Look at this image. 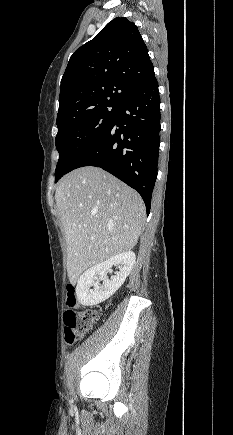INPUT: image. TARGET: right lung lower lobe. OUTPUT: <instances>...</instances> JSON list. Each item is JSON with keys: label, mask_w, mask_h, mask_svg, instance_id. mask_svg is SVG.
I'll list each match as a JSON object with an SVG mask.
<instances>
[{"label": "right lung lower lobe", "mask_w": 233, "mask_h": 435, "mask_svg": "<svg viewBox=\"0 0 233 435\" xmlns=\"http://www.w3.org/2000/svg\"><path fill=\"white\" fill-rule=\"evenodd\" d=\"M160 98L153 74L132 90L118 107L104 136L71 168L100 167L139 192L147 214L157 177Z\"/></svg>", "instance_id": "1"}]
</instances>
